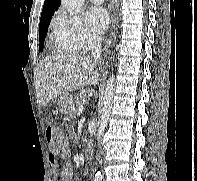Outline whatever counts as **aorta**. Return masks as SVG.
Wrapping results in <instances>:
<instances>
[{
	"instance_id": "762f6f07",
	"label": "aorta",
	"mask_w": 197,
	"mask_h": 181,
	"mask_svg": "<svg viewBox=\"0 0 197 181\" xmlns=\"http://www.w3.org/2000/svg\"><path fill=\"white\" fill-rule=\"evenodd\" d=\"M62 5L67 9L70 14H77L80 12L84 0H61ZM115 90V76L112 74L105 86V90L102 95V111L101 118L98 123V132H97V142L99 144L101 137L103 136L109 120L112 110L113 98ZM93 181H104L103 175L100 171H97L94 175Z\"/></svg>"
}]
</instances>
